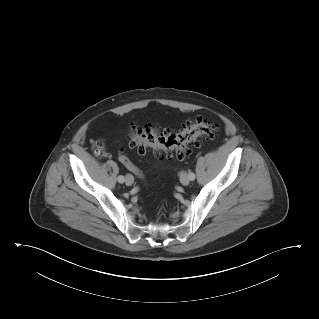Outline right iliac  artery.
<instances>
[{"label": "right iliac artery", "instance_id": "obj_1", "mask_svg": "<svg viewBox=\"0 0 319 319\" xmlns=\"http://www.w3.org/2000/svg\"><path fill=\"white\" fill-rule=\"evenodd\" d=\"M124 181H125L124 176L120 175V176L118 177V182H119V183H124Z\"/></svg>", "mask_w": 319, "mask_h": 319}]
</instances>
